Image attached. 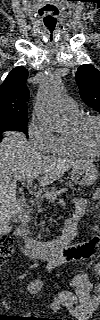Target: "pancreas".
<instances>
[{"instance_id": "cf45deb5", "label": "pancreas", "mask_w": 100, "mask_h": 320, "mask_svg": "<svg viewBox=\"0 0 100 320\" xmlns=\"http://www.w3.org/2000/svg\"><path fill=\"white\" fill-rule=\"evenodd\" d=\"M51 191L52 192H56V188H51ZM43 197H39L38 199H37V205H38V207H39V211L40 212H42V208L40 207L42 204H43ZM39 228H40V232L38 233V235H37V238H41V233L44 231V222H41L40 224H39Z\"/></svg>"}]
</instances>
